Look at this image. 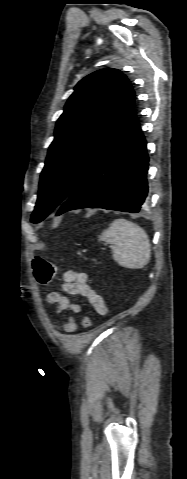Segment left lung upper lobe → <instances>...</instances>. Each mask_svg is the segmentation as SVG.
<instances>
[{"mask_svg":"<svg viewBox=\"0 0 187 479\" xmlns=\"http://www.w3.org/2000/svg\"><path fill=\"white\" fill-rule=\"evenodd\" d=\"M74 90L56 124L40 177L33 223L41 222L68 199L115 142L135 106L130 81L117 69L98 70Z\"/></svg>","mask_w":187,"mask_h":479,"instance_id":"left-lung-upper-lobe-1","label":"left lung upper lobe"}]
</instances>
